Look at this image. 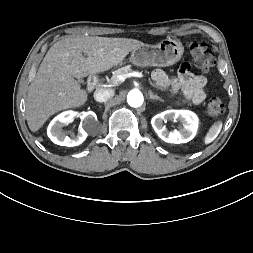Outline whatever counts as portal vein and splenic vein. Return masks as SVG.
Returning a JSON list of instances; mask_svg holds the SVG:
<instances>
[{"label": "portal vein and splenic vein", "instance_id": "18ae733b", "mask_svg": "<svg viewBox=\"0 0 253 253\" xmlns=\"http://www.w3.org/2000/svg\"><path fill=\"white\" fill-rule=\"evenodd\" d=\"M142 76L143 75L140 72H132V73L118 75V76L114 77L112 80H113L114 84H118V83L125 81V79L128 77H142Z\"/></svg>", "mask_w": 253, "mask_h": 253}]
</instances>
